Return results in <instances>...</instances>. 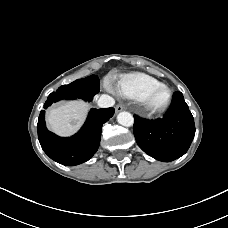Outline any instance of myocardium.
<instances>
[{
	"label": "myocardium",
	"mask_w": 228,
	"mask_h": 228,
	"mask_svg": "<svg viewBox=\"0 0 228 228\" xmlns=\"http://www.w3.org/2000/svg\"><path fill=\"white\" fill-rule=\"evenodd\" d=\"M159 90H164L166 92V98H165L164 102L162 104H160L159 106H153L151 103V99H152L153 95ZM140 101L143 105L144 110L147 113H149L151 115L160 114V113H163L169 107V105L172 101V91L168 86H166L164 84H160V85L150 88L143 95V97Z\"/></svg>",
	"instance_id": "obj_1"
}]
</instances>
